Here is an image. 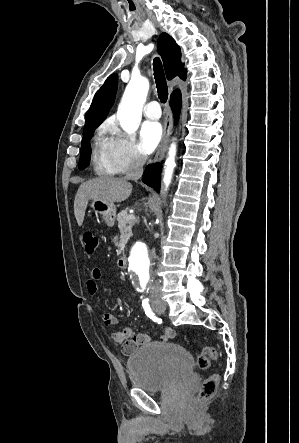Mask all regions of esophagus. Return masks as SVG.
I'll return each instance as SVG.
<instances>
[{"instance_id":"34e87169","label":"esophagus","mask_w":299,"mask_h":443,"mask_svg":"<svg viewBox=\"0 0 299 443\" xmlns=\"http://www.w3.org/2000/svg\"><path fill=\"white\" fill-rule=\"evenodd\" d=\"M171 129H172V113H171L170 106L167 105L163 136H162L161 142L157 148L155 157L152 161L153 163L160 162L162 157L164 156L166 147L168 145L169 137L171 134Z\"/></svg>"}]
</instances>
